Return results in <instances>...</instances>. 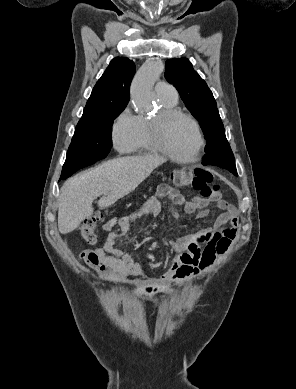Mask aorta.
Returning <instances> with one entry per match:
<instances>
[{"label": "aorta", "instance_id": "obj_1", "mask_svg": "<svg viewBox=\"0 0 296 389\" xmlns=\"http://www.w3.org/2000/svg\"><path fill=\"white\" fill-rule=\"evenodd\" d=\"M162 72V63L155 59L148 60L138 70L131 85V98L137 106L152 107V88Z\"/></svg>", "mask_w": 296, "mask_h": 389}]
</instances>
